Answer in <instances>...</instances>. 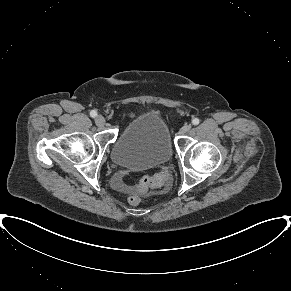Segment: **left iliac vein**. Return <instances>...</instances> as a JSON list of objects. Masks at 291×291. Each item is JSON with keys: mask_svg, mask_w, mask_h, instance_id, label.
<instances>
[{"mask_svg": "<svg viewBox=\"0 0 291 291\" xmlns=\"http://www.w3.org/2000/svg\"><path fill=\"white\" fill-rule=\"evenodd\" d=\"M191 129V125L190 124H186L184 125L181 129H180V134L181 135H185L187 132H189Z\"/></svg>", "mask_w": 291, "mask_h": 291, "instance_id": "4c4485c4", "label": "left iliac vein"}]
</instances>
